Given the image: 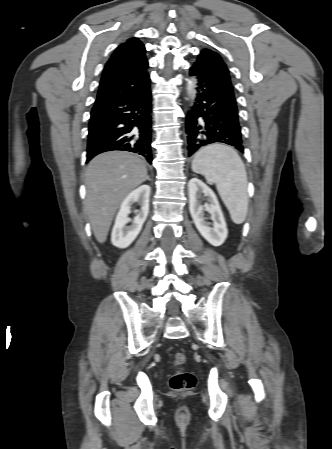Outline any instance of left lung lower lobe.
Here are the masks:
<instances>
[{
  "label": "left lung lower lobe",
  "mask_w": 332,
  "mask_h": 449,
  "mask_svg": "<svg viewBox=\"0 0 332 449\" xmlns=\"http://www.w3.org/2000/svg\"><path fill=\"white\" fill-rule=\"evenodd\" d=\"M196 98L186 119L188 155L212 143L234 146L244 152L238 109L231 82L218 70L194 63Z\"/></svg>",
  "instance_id": "obj_1"
}]
</instances>
